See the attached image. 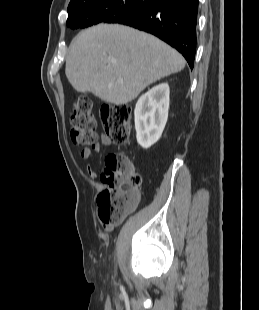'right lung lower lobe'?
<instances>
[{
    "label": "right lung lower lobe",
    "mask_w": 259,
    "mask_h": 310,
    "mask_svg": "<svg viewBox=\"0 0 259 310\" xmlns=\"http://www.w3.org/2000/svg\"><path fill=\"white\" fill-rule=\"evenodd\" d=\"M198 0H152L117 23L149 32L177 49L194 67Z\"/></svg>",
    "instance_id": "obj_1"
}]
</instances>
